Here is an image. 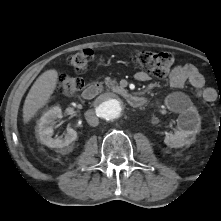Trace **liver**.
I'll use <instances>...</instances> for the list:
<instances>
[{
	"label": "liver",
	"instance_id": "liver-1",
	"mask_svg": "<svg viewBox=\"0 0 221 221\" xmlns=\"http://www.w3.org/2000/svg\"><path fill=\"white\" fill-rule=\"evenodd\" d=\"M58 81V73L50 69L42 73L29 90L23 105V121L28 123L32 117L49 101Z\"/></svg>",
	"mask_w": 221,
	"mask_h": 221
}]
</instances>
